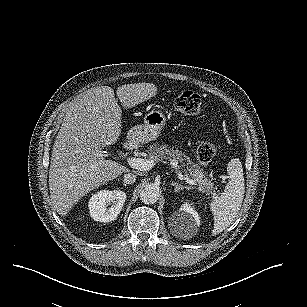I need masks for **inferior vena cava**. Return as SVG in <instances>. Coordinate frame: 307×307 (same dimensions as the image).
I'll list each match as a JSON object with an SVG mask.
<instances>
[{
	"label": "inferior vena cava",
	"mask_w": 307,
	"mask_h": 307,
	"mask_svg": "<svg viewBox=\"0 0 307 307\" xmlns=\"http://www.w3.org/2000/svg\"><path fill=\"white\" fill-rule=\"evenodd\" d=\"M136 182V175L133 173H126L124 175V183L125 184H133Z\"/></svg>",
	"instance_id": "602c4592"
}]
</instances>
